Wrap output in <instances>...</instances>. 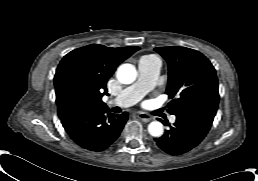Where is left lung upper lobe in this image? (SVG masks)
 Listing matches in <instances>:
<instances>
[{
  "label": "left lung upper lobe",
  "mask_w": 258,
  "mask_h": 181,
  "mask_svg": "<svg viewBox=\"0 0 258 181\" xmlns=\"http://www.w3.org/2000/svg\"><path fill=\"white\" fill-rule=\"evenodd\" d=\"M169 67L166 93L172 99L170 114L203 113L215 116L218 80L211 62L200 52L186 47H158Z\"/></svg>",
  "instance_id": "1"
}]
</instances>
